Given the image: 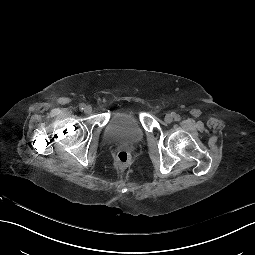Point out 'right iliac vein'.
<instances>
[{"label":"right iliac vein","instance_id":"right-iliac-vein-1","mask_svg":"<svg viewBox=\"0 0 255 255\" xmlns=\"http://www.w3.org/2000/svg\"><path fill=\"white\" fill-rule=\"evenodd\" d=\"M84 112L86 114H90L92 112V107L90 105H86L84 108Z\"/></svg>","mask_w":255,"mask_h":255}]
</instances>
